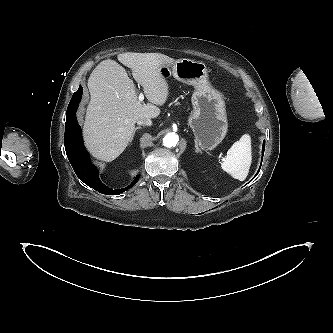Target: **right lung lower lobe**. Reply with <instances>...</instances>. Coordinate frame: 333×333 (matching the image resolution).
I'll list each match as a JSON object with an SVG mask.
<instances>
[{
  "label": "right lung lower lobe",
  "mask_w": 333,
  "mask_h": 333,
  "mask_svg": "<svg viewBox=\"0 0 333 333\" xmlns=\"http://www.w3.org/2000/svg\"><path fill=\"white\" fill-rule=\"evenodd\" d=\"M82 93L83 88L80 86L77 92L73 94L66 112L64 145L67 157L77 177L86 185L102 194H119L136 184L139 176L135 177V180L131 183L130 186L120 190L109 189L100 181L98 169L95 165L91 164L89 160V154L83 145L81 128L78 125L76 118V110L81 100Z\"/></svg>",
  "instance_id": "right-lung-lower-lobe-1"
}]
</instances>
